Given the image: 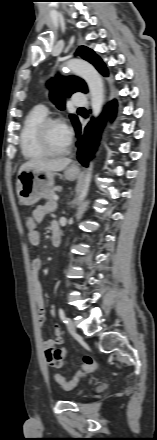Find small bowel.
I'll return each mask as SVG.
<instances>
[{"label":"small bowel","mask_w":157,"mask_h":440,"mask_svg":"<svg viewBox=\"0 0 157 440\" xmlns=\"http://www.w3.org/2000/svg\"><path fill=\"white\" fill-rule=\"evenodd\" d=\"M55 209V204L53 202H47L43 205L37 206L33 212V217L37 221V223L43 221L46 214L52 212ZM57 226L55 222L52 223V227ZM29 242L33 246H37L40 243V234L38 231L29 232L28 234ZM32 279L34 285V293H35V301L37 305V313H38V325L39 327H43L45 323V314H46V306L43 295L42 285L39 281V271L42 266V261L40 257L36 256L32 260ZM52 315L56 314V310L52 308ZM55 338L48 339L43 342V346L45 349V357L48 364L54 368H60L63 365V362L67 356V352L64 348H62L63 353L62 356L57 358L52 355L51 350L54 346L61 345L63 343V338L61 336V328L59 325H56L54 328Z\"/></svg>","instance_id":"obj_1"}]
</instances>
